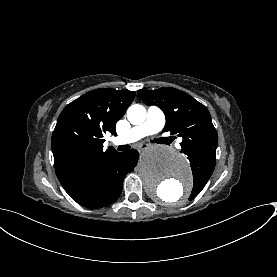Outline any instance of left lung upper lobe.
<instances>
[{
  "mask_svg": "<svg viewBox=\"0 0 277 277\" xmlns=\"http://www.w3.org/2000/svg\"><path fill=\"white\" fill-rule=\"evenodd\" d=\"M139 97L147 105H157L166 116L164 132L182 137L185 154L205 147L217 148L218 138L208 109L189 94L175 88L139 90ZM202 153L199 154V156ZM193 190L189 200L194 199L210 178L214 164L207 158H193Z\"/></svg>",
  "mask_w": 277,
  "mask_h": 277,
  "instance_id": "5c2ea615",
  "label": "left lung upper lobe"
}]
</instances>
